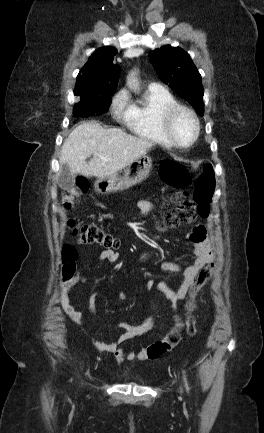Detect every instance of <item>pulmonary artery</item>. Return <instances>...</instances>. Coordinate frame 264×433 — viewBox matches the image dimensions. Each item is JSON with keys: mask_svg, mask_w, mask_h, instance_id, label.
<instances>
[{"mask_svg": "<svg viewBox=\"0 0 264 433\" xmlns=\"http://www.w3.org/2000/svg\"><path fill=\"white\" fill-rule=\"evenodd\" d=\"M149 88L154 89V90H162V89H164L163 86L160 83H158V82H152V83H150Z\"/></svg>", "mask_w": 264, "mask_h": 433, "instance_id": "1", "label": "pulmonary artery"}]
</instances>
